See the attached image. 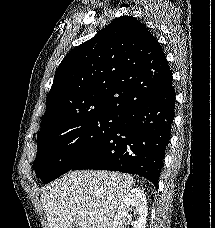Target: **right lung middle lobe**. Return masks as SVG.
<instances>
[{
    "mask_svg": "<svg viewBox=\"0 0 215 228\" xmlns=\"http://www.w3.org/2000/svg\"><path fill=\"white\" fill-rule=\"evenodd\" d=\"M112 113L41 129L37 137L34 170L44 184L72 169L103 140L119 122Z\"/></svg>",
    "mask_w": 215,
    "mask_h": 228,
    "instance_id": "dd1d6c3e",
    "label": "right lung middle lobe"
}]
</instances>
